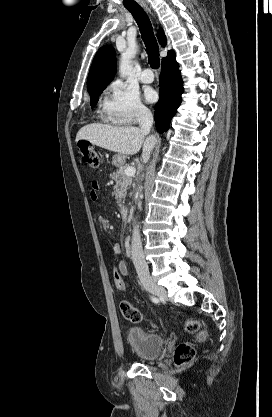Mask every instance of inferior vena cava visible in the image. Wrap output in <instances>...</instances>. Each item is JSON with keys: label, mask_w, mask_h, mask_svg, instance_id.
<instances>
[{"label": "inferior vena cava", "mask_w": 272, "mask_h": 417, "mask_svg": "<svg viewBox=\"0 0 272 417\" xmlns=\"http://www.w3.org/2000/svg\"><path fill=\"white\" fill-rule=\"evenodd\" d=\"M137 121L144 132H149L153 125V115L146 107H141L138 111ZM132 260L138 276H148V265L145 261L140 232L138 226L134 227L132 236Z\"/></svg>", "instance_id": "1"}]
</instances>
